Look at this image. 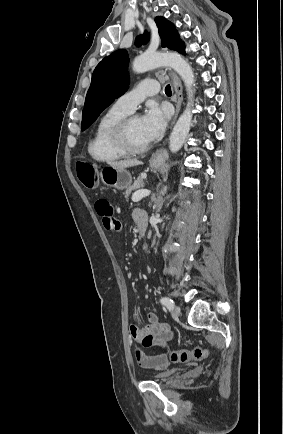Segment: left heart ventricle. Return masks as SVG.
Wrapping results in <instances>:
<instances>
[{
    "label": "left heart ventricle",
    "mask_w": 283,
    "mask_h": 434,
    "mask_svg": "<svg viewBox=\"0 0 283 434\" xmlns=\"http://www.w3.org/2000/svg\"><path fill=\"white\" fill-rule=\"evenodd\" d=\"M129 135L131 141L135 145H144L148 143V141L145 139L142 129H141V118L136 117L132 120L130 126H129Z\"/></svg>",
    "instance_id": "obj_1"
}]
</instances>
